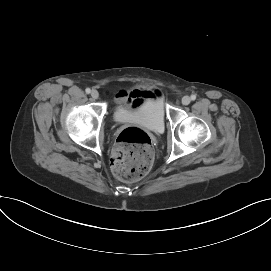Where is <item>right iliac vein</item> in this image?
I'll return each mask as SVG.
<instances>
[{"mask_svg": "<svg viewBox=\"0 0 271 271\" xmlns=\"http://www.w3.org/2000/svg\"><path fill=\"white\" fill-rule=\"evenodd\" d=\"M91 97H92L93 99H98V97H99L98 91H97V90H92V92H91Z\"/></svg>", "mask_w": 271, "mask_h": 271, "instance_id": "63e3f726", "label": "right iliac vein"}]
</instances>
